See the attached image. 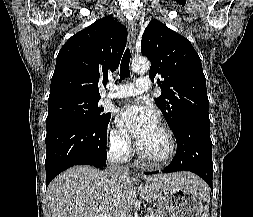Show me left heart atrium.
<instances>
[{"label": "left heart atrium", "instance_id": "left-heart-atrium-1", "mask_svg": "<svg viewBox=\"0 0 253 217\" xmlns=\"http://www.w3.org/2000/svg\"><path fill=\"white\" fill-rule=\"evenodd\" d=\"M117 122L121 128L131 133L138 143L158 127L155 113L150 108L141 105L123 107L117 115Z\"/></svg>", "mask_w": 253, "mask_h": 217}]
</instances>
